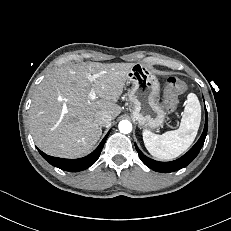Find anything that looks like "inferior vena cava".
I'll list each match as a JSON object with an SVG mask.
<instances>
[{
  "label": "inferior vena cava",
  "instance_id": "obj_1",
  "mask_svg": "<svg viewBox=\"0 0 231 231\" xmlns=\"http://www.w3.org/2000/svg\"><path fill=\"white\" fill-rule=\"evenodd\" d=\"M96 120L100 126H107L110 124L112 120V116L110 115L109 112L102 110L96 112Z\"/></svg>",
  "mask_w": 231,
  "mask_h": 231
}]
</instances>
